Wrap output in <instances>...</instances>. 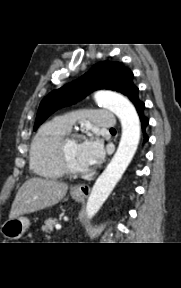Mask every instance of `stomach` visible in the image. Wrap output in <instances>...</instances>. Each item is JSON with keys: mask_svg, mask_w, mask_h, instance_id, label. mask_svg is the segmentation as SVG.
Masks as SVG:
<instances>
[{"mask_svg": "<svg viewBox=\"0 0 181 288\" xmlns=\"http://www.w3.org/2000/svg\"><path fill=\"white\" fill-rule=\"evenodd\" d=\"M71 196L75 201H81L83 197L79 194L71 192ZM30 226V221L21 216L9 218L1 226L0 232L9 241L20 239Z\"/></svg>", "mask_w": 181, "mask_h": 288, "instance_id": "stomach-1", "label": "stomach"}]
</instances>
